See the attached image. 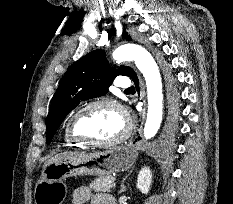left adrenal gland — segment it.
I'll list each match as a JSON object with an SVG mask.
<instances>
[{
  "label": "left adrenal gland",
  "mask_w": 233,
  "mask_h": 204,
  "mask_svg": "<svg viewBox=\"0 0 233 204\" xmlns=\"http://www.w3.org/2000/svg\"><path fill=\"white\" fill-rule=\"evenodd\" d=\"M131 173H132V170H131L130 173L122 180L121 189H120V191L118 192V194H121V193H123V192L126 191V188H125V186H124V182H125V180L127 179V177H128Z\"/></svg>",
  "instance_id": "a2214340"
}]
</instances>
